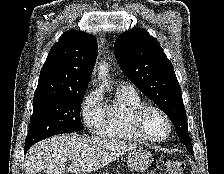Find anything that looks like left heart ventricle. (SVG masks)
<instances>
[{"mask_svg":"<svg viewBox=\"0 0 224 174\" xmlns=\"http://www.w3.org/2000/svg\"><path fill=\"white\" fill-rule=\"evenodd\" d=\"M144 128L153 137H162L167 132V123L156 111H149L144 117Z\"/></svg>","mask_w":224,"mask_h":174,"instance_id":"obj_1","label":"left heart ventricle"}]
</instances>
